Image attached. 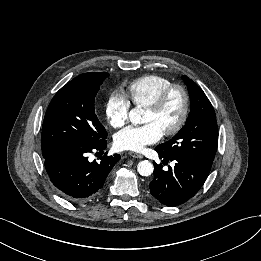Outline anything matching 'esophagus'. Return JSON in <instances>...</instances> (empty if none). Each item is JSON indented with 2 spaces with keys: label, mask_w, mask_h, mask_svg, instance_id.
<instances>
[{
  "label": "esophagus",
  "mask_w": 261,
  "mask_h": 261,
  "mask_svg": "<svg viewBox=\"0 0 261 261\" xmlns=\"http://www.w3.org/2000/svg\"><path fill=\"white\" fill-rule=\"evenodd\" d=\"M129 155L133 158H139V159H142L143 158V155L142 154H139V153H135V152H130Z\"/></svg>",
  "instance_id": "esophagus-1"
}]
</instances>
